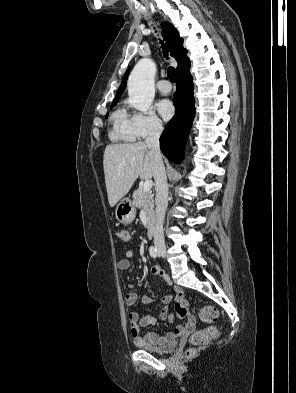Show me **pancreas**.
<instances>
[{
  "label": "pancreas",
  "mask_w": 296,
  "mask_h": 393,
  "mask_svg": "<svg viewBox=\"0 0 296 393\" xmlns=\"http://www.w3.org/2000/svg\"><path fill=\"white\" fill-rule=\"evenodd\" d=\"M133 204L145 211L148 227L151 228L155 221L154 200L151 191L137 189L133 193Z\"/></svg>",
  "instance_id": "cf45deb5"
}]
</instances>
